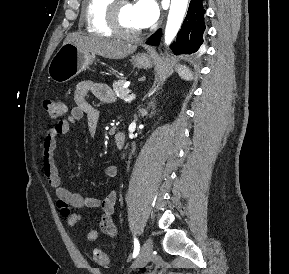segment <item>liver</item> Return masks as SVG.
<instances>
[{
    "mask_svg": "<svg viewBox=\"0 0 289 274\" xmlns=\"http://www.w3.org/2000/svg\"><path fill=\"white\" fill-rule=\"evenodd\" d=\"M64 43H72L83 51L110 59H123L134 53L137 49L136 45L110 41L93 36H83L77 33L68 35Z\"/></svg>",
    "mask_w": 289,
    "mask_h": 274,
    "instance_id": "1",
    "label": "liver"
}]
</instances>
